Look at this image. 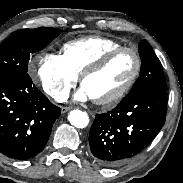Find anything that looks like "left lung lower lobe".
<instances>
[{
	"label": "left lung lower lobe",
	"mask_w": 183,
	"mask_h": 183,
	"mask_svg": "<svg viewBox=\"0 0 183 183\" xmlns=\"http://www.w3.org/2000/svg\"><path fill=\"white\" fill-rule=\"evenodd\" d=\"M166 90L148 89L127 95L116 108L97 114L89 133L93 158L112 167L142 152L165 123Z\"/></svg>",
	"instance_id": "1"
}]
</instances>
